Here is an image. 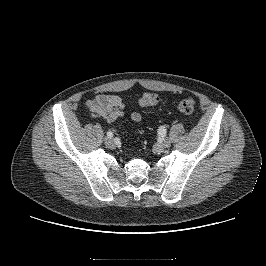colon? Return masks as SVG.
<instances>
[{"instance_id":"5ec220e1","label":"colon","mask_w":266,"mask_h":266,"mask_svg":"<svg viewBox=\"0 0 266 266\" xmlns=\"http://www.w3.org/2000/svg\"><path fill=\"white\" fill-rule=\"evenodd\" d=\"M159 101V97L154 93H144L138 100V104L140 107H152L155 106ZM178 108L181 112L185 114L193 113L195 109V101L192 98H184L179 104Z\"/></svg>"}]
</instances>
